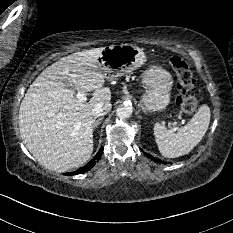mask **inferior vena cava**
I'll use <instances>...</instances> for the list:
<instances>
[{
  "label": "inferior vena cava",
  "mask_w": 233,
  "mask_h": 233,
  "mask_svg": "<svg viewBox=\"0 0 233 233\" xmlns=\"http://www.w3.org/2000/svg\"><path fill=\"white\" fill-rule=\"evenodd\" d=\"M111 106L112 105L110 102L97 103L96 105H94V107L92 109V114L95 117L103 116V115L107 114L108 112H110Z\"/></svg>",
  "instance_id": "inferior-vena-cava-1"
}]
</instances>
